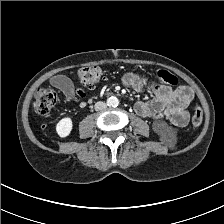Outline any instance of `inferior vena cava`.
<instances>
[{
    "label": "inferior vena cava",
    "mask_w": 224,
    "mask_h": 224,
    "mask_svg": "<svg viewBox=\"0 0 224 224\" xmlns=\"http://www.w3.org/2000/svg\"><path fill=\"white\" fill-rule=\"evenodd\" d=\"M106 108V103L105 102H102V101H99L95 104V110H102V109H105Z\"/></svg>",
    "instance_id": "inferior-vena-cava-1"
}]
</instances>
